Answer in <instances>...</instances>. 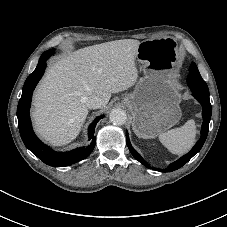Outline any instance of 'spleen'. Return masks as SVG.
<instances>
[{
	"label": "spleen",
	"mask_w": 227,
	"mask_h": 227,
	"mask_svg": "<svg viewBox=\"0 0 227 227\" xmlns=\"http://www.w3.org/2000/svg\"><path fill=\"white\" fill-rule=\"evenodd\" d=\"M196 133L195 121L190 119L180 128L161 133L159 140L171 153L183 155L193 147Z\"/></svg>",
	"instance_id": "spleen-1"
}]
</instances>
